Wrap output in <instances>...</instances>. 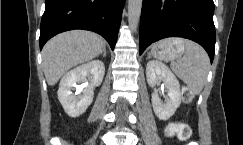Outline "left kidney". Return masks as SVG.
Segmentation results:
<instances>
[{
	"label": "left kidney",
	"instance_id": "left-kidney-1",
	"mask_svg": "<svg viewBox=\"0 0 243 145\" xmlns=\"http://www.w3.org/2000/svg\"><path fill=\"white\" fill-rule=\"evenodd\" d=\"M146 78L151 87H155L161 81L168 90L169 99L162 103L158 91L152 93V107L155 115L163 121L168 120L180 106L181 92L180 84L175 75L161 62L151 60L146 66Z\"/></svg>",
	"mask_w": 243,
	"mask_h": 145
}]
</instances>
